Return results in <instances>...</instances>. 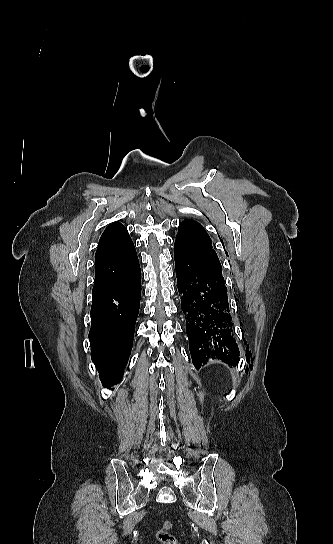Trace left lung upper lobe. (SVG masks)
Instances as JSON below:
<instances>
[{"mask_svg": "<svg viewBox=\"0 0 333 544\" xmlns=\"http://www.w3.org/2000/svg\"><path fill=\"white\" fill-rule=\"evenodd\" d=\"M175 249H180L193 258L222 272V266L216 252L212 248V241L203 226L190 219L179 224L175 241Z\"/></svg>", "mask_w": 333, "mask_h": 544, "instance_id": "obj_1", "label": "left lung upper lobe"}]
</instances>
